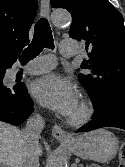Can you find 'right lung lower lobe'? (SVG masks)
<instances>
[{"label": "right lung lower lobe", "mask_w": 125, "mask_h": 167, "mask_svg": "<svg viewBox=\"0 0 125 167\" xmlns=\"http://www.w3.org/2000/svg\"><path fill=\"white\" fill-rule=\"evenodd\" d=\"M5 70L0 71L2 77ZM32 107L33 101L23 83L8 88L3 79L0 81V121L20 125L31 114Z\"/></svg>", "instance_id": "1"}]
</instances>
